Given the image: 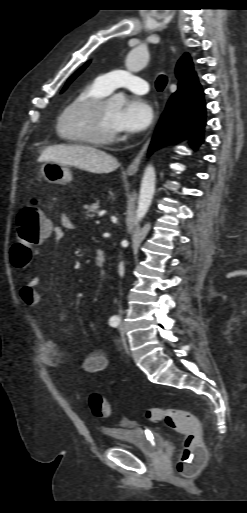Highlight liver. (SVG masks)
Listing matches in <instances>:
<instances>
[{
  "label": "liver",
  "mask_w": 247,
  "mask_h": 513,
  "mask_svg": "<svg viewBox=\"0 0 247 513\" xmlns=\"http://www.w3.org/2000/svg\"><path fill=\"white\" fill-rule=\"evenodd\" d=\"M46 161L75 166L96 174L110 173L119 166L115 158L109 154L84 145L49 146L38 158V162Z\"/></svg>",
  "instance_id": "obj_1"
}]
</instances>
